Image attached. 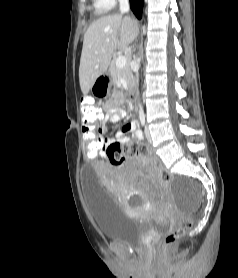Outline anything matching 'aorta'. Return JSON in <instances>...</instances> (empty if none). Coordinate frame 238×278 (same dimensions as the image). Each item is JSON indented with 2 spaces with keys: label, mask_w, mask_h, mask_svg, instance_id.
I'll list each match as a JSON object with an SVG mask.
<instances>
[{
  "label": "aorta",
  "mask_w": 238,
  "mask_h": 278,
  "mask_svg": "<svg viewBox=\"0 0 238 278\" xmlns=\"http://www.w3.org/2000/svg\"><path fill=\"white\" fill-rule=\"evenodd\" d=\"M139 107H140V113H143V106L140 104Z\"/></svg>",
  "instance_id": "1"
}]
</instances>
